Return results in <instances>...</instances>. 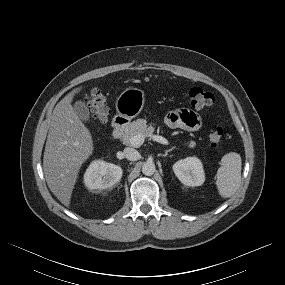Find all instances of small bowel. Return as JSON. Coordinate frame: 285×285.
I'll return each instance as SVG.
<instances>
[{
    "label": "small bowel",
    "instance_id": "obj_1",
    "mask_svg": "<svg viewBox=\"0 0 285 285\" xmlns=\"http://www.w3.org/2000/svg\"><path fill=\"white\" fill-rule=\"evenodd\" d=\"M164 121L171 128H180L187 131H197L202 124L201 117L188 109L172 111L166 115Z\"/></svg>",
    "mask_w": 285,
    "mask_h": 285
}]
</instances>
